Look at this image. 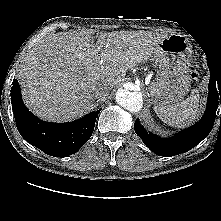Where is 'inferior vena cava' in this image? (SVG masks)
I'll return each instance as SVG.
<instances>
[{
	"mask_svg": "<svg viewBox=\"0 0 221 221\" xmlns=\"http://www.w3.org/2000/svg\"><path fill=\"white\" fill-rule=\"evenodd\" d=\"M108 93V89L106 86H100L95 88L94 90V97L96 99L101 98L103 96H105Z\"/></svg>",
	"mask_w": 221,
	"mask_h": 221,
	"instance_id": "obj_1",
	"label": "inferior vena cava"
}]
</instances>
